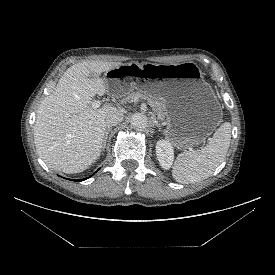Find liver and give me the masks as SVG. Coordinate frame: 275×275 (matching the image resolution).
Instances as JSON below:
<instances>
[{"instance_id":"liver-1","label":"liver","mask_w":275,"mask_h":275,"mask_svg":"<svg viewBox=\"0 0 275 275\" xmlns=\"http://www.w3.org/2000/svg\"><path fill=\"white\" fill-rule=\"evenodd\" d=\"M121 62L83 61L66 70L43 99L34 125L36 150L49 168L67 174L86 170L100 156L110 105L92 107V98L108 92L100 75ZM91 76V77H90Z\"/></svg>"}]
</instances>
